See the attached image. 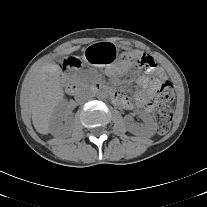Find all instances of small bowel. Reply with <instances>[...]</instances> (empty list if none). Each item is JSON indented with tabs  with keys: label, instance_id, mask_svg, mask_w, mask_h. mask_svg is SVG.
Wrapping results in <instances>:
<instances>
[{
	"label": "small bowel",
	"instance_id": "small-bowel-1",
	"mask_svg": "<svg viewBox=\"0 0 207 207\" xmlns=\"http://www.w3.org/2000/svg\"><path fill=\"white\" fill-rule=\"evenodd\" d=\"M124 70V67H112L109 68L107 73L110 77L119 76ZM165 79V73L162 69L158 68V70L153 73V77L150 78L146 75H140L138 78V83L140 85V90L136 93L135 104L137 107L150 111L153 108V97L159 86V84ZM114 101L124 107V108H132V103L128 100V98L121 92H115Z\"/></svg>",
	"mask_w": 207,
	"mask_h": 207
}]
</instances>
